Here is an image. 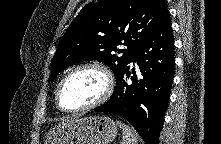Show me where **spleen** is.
Segmentation results:
<instances>
[{"label":"spleen","mask_w":221,"mask_h":144,"mask_svg":"<svg viewBox=\"0 0 221 144\" xmlns=\"http://www.w3.org/2000/svg\"><path fill=\"white\" fill-rule=\"evenodd\" d=\"M117 125L122 130L121 144H138L137 134L126 124L117 121Z\"/></svg>","instance_id":"obj_1"}]
</instances>
